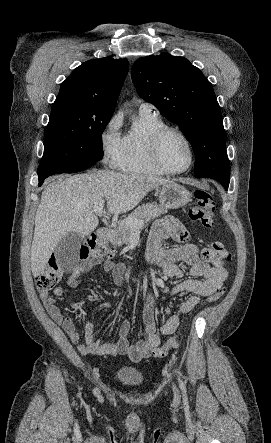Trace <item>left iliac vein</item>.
Returning <instances> with one entry per match:
<instances>
[{
    "label": "left iliac vein",
    "mask_w": 271,
    "mask_h": 443,
    "mask_svg": "<svg viewBox=\"0 0 271 443\" xmlns=\"http://www.w3.org/2000/svg\"><path fill=\"white\" fill-rule=\"evenodd\" d=\"M172 388H173V392H174V397L178 399L179 393H178L177 387L173 384Z\"/></svg>",
    "instance_id": "4c4485c4"
}]
</instances>
